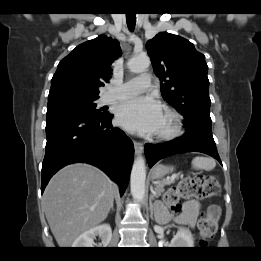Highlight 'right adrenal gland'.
I'll return each mask as SVG.
<instances>
[{
  "label": "right adrenal gland",
  "instance_id": "2a0ac1e0",
  "mask_svg": "<svg viewBox=\"0 0 261 261\" xmlns=\"http://www.w3.org/2000/svg\"><path fill=\"white\" fill-rule=\"evenodd\" d=\"M111 210L113 211V206L111 207Z\"/></svg>",
  "mask_w": 261,
  "mask_h": 261
}]
</instances>
